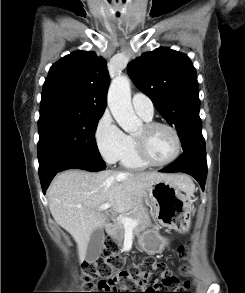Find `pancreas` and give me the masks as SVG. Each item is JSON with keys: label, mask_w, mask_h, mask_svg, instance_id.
<instances>
[{"label": "pancreas", "mask_w": 245, "mask_h": 293, "mask_svg": "<svg viewBox=\"0 0 245 293\" xmlns=\"http://www.w3.org/2000/svg\"><path fill=\"white\" fill-rule=\"evenodd\" d=\"M129 218L133 220H138V225L134 228V233L139 234L140 232L144 231L146 228L151 227L152 223L150 220V216L146 210H136L132 212ZM125 235V228L123 224L119 221L115 224L113 230V239L117 241L119 245L123 243Z\"/></svg>", "instance_id": "1"}]
</instances>
